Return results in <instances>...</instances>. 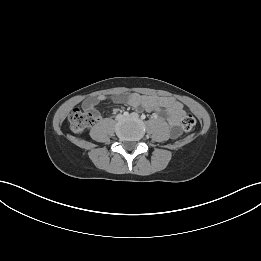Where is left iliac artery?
<instances>
[{
  "label": "left iliac artery",
  "mask_w": 261,
  "mask_h": 261,
  "mask_svg": "<svg viewBox=\"0 0 261 261\" xmlns=\"http://www.w3.org/2000/svg\"><path fill=\"white\" fill-rule=\"evenodd\" d=\"M146 116L144 114L141 115V119H145Z\"/></svg>",
  "instance_id": "1"
}]
</instances>
